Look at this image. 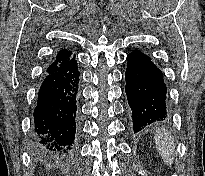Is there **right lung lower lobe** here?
Wrapping results in <instances>:
<instances>
[{
	"instance_id": "right-lung-lower-lobe-1",
	"label": "right lung lower lobe",
	"mask_w": 205,
	"mask_h": 176,
	"mask_svg": "<svg viewBox=\"0 0 205 176\" xmlns=\"http://www.w3.org/2000/svg\"><path fill=\"white\" fill-rule=\"evenodd\" d=\"M78 87L75 56L45 74L34 110L32 143L35 150L65 155L75 153Z\"/></svg>"
}]
</instances>
